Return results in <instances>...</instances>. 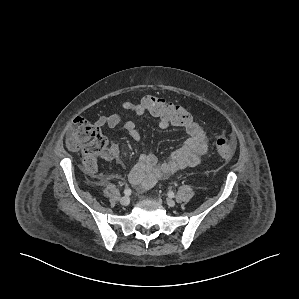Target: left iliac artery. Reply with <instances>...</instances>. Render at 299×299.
Listing matches in <instances>:
<instances>
[{
	"label": "left iliac artery",
	"instance_id": "obj_1",
	"mask_svg": "<svg viewBox=\"0 0 299 299\" xmlns=\"http://www.w3.org/2000/svg\"><path fill=\"white\" fill-rule=\"evenodd\" d=\"M168 196H169L170 198H173V197H174V192L170 191V192L168 193Z\"/></svg>",
	"mask_w": 299,
	"mask_h": 299
}]
</instances>
